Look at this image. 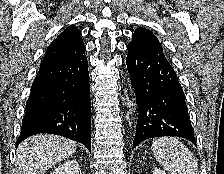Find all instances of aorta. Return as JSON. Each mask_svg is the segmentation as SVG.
<instances>
[{
	"instance_id": "1",
	"label": "aorta",
	"mask_w": 224,
	"mask_h": 174,
	"mask_svg": "<svg viewBox=\"0 0 224 174\" xmlns=\"http://www.w3.org/2000/svg\"><path fill=\"white\" fill-rule=\"evenodd\" d=\"M128 107H132L133 106V103L130 101L127 103Z\"/></svg>"
}]
</instances>
